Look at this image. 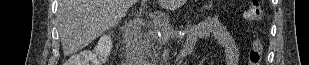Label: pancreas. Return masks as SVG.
<instances>
[{
	"label": "pancreas",
	"instance_id": "1",
	"mask_svg": "<svg viewBox=\"0 0 309 65\" xmlns=\"http://www.w3.org/2000/svg\"><path fill=\"white\" fill-rule=\"evenodd\" d=\"M158 29L160 31H168L170 29L169 21L166 19H156L147 25V30L137 37L134 45L133 54L139 59L146 61H156L157 55L162 46V40L158 37Z\"/></svg>",
	"mask_w": 309,
	"mask_h": 65
}]
</instances>
